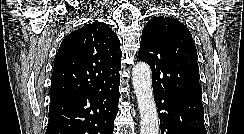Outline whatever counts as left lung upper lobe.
I'll return each instance as SVG.
<instances>
[{
    "label": "left lung upper lobe",
    "mask_w": 244,
    "mask_h": 134,
    "mask_svg": "<svg viewBox=\"0 0 244 134\" xmlns=\"http://www.w3.org/2000/svg\"><path fill=\"white\" fill-rule=\"evenodd\" d=\"M138 55L151 67L154 90L201 98L196 47L180 21L164 16L148 21Z\"/></svg>",
    "instance_id": "5c2ea615"
}]
</instances>
